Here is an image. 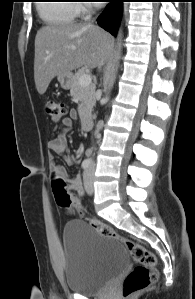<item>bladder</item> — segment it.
<instances>
[{"label":"bladder","mask_w":195,"mask_h":299,"mask_svg":"<svg viewBox=\"0 0 195 299\" xmlns=\"http://www.w3.org/2000/svg\"><path fill=\"white\" fill-rule=\"evenodd\" d=\"M64 280L68 290L94 295L129 265L125 247L100 235L89 223L75 220L63 230Z\"/></svg>","instance_id":"obj_1"}]
</instances>
